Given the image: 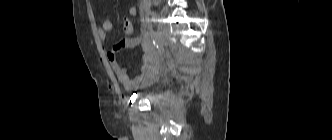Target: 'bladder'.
Returning <instances> with one entry per match:
<instances>
[{
	"label": "bladder",
	"mask_w": 332,
	"mask_h": 140,
	"mask_svg": "<svg viewBox=\"0 0 332 140\" xmlns=\"http://www.w3.org/2000/svg\"><path fill=\"white\" fill-rule=\"evenodd\" d=\"M155 83H156V80H155V79H152L150 82H148V83L145 85V87H146V88H150V87H152Z\"/></svg>",
	"instance_id": "bladder-1"
}]
</instances>
